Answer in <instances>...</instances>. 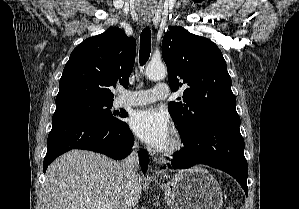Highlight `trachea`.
Wrapping results in <instances>:
<instances>
[{
    "label": "trachea",
    "mask_w": 299,
    "mask_h": 209,
    "mask_svg": "<svg viewBox=\"0 0 299 209\" xmlns=\"http://www.w3.org/2000/svg\"><path fill=\"white\" fill-rule=\"evenodd\" d=\"M151 52V31L149 27L142 30L140 36V54L139 62L143 66L149 59Z\"/></svg>",
    "instance_id": "1"
}]
</instances>
